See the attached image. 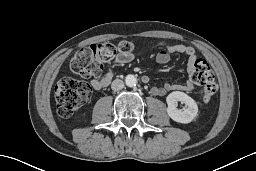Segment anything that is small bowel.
<instances>
[{
  "mask_svg": "<svg viewBox=\"0 0 256 171\" xmlns=\"http://www.w3.org/2000/svg\"><path fill=\"white\" fill-rule=\"evenodd\" d=\"M162 49L156 55V61L159 64H166L170 61L171 55L173 54H185L188 56V71L192 72L195 62L197 61V54L195 49L192 46L185 44H169L166 42H161ZM133 60L132 54L118 55L114 59V63L118 65H123L131 62ZM113 70L108 69L103 77L94 78L91 81V86L94 90H101L109 85L113 78ZM193 89V85L190 82H187L184 85L174 84V83H165L163 86H153L151 92L154 95H164L167 92L180 90L189 92Z\"/></svg>",
  "mask_w": 256,
  "mask_h": 171,
  "instance_id": "small-bowel-1",
  "label": "small bowel"
}]
</instances>
